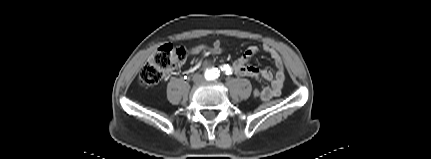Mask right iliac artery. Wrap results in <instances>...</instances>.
Masks as SVG:
<instances>
[{
	"mask_svg": "<svg viewBox=\"0 0 431 159\" xmlns=\"http://www.w3.org/2000/svg\"><path fill=\"white\" fill-rule=\"evenodd\" d=\"M215 71L217 72V69H210V70H206L205 72V77L206 79H211L213 74L215 73Z\"/></svg>",
	"mask_w": 431,
	"mask_h": 159,
	"instance_id": "obj_1",
	"label": "right iliac artery"
}]
</instances>
